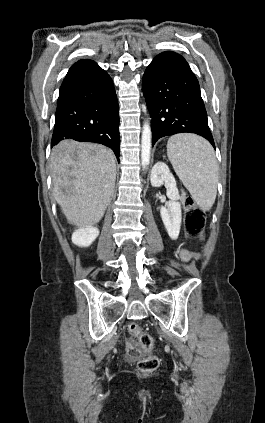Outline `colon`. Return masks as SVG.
<instances>
[{
  "mask_svg": "<svg viewBox=\"0 0 265 423\" xmlns=\"http://www.w3.org/2000/svg\"><path fill=\"white\" fill-rule=\"evenodd\" d=\"M187 210L185 215V230L188 235L199 239L204 238L205 214L196 206L192 198H187L185 201ZM128 331L136 337L139 350L149 351L153 347L152 336L143 331L138 324L130 323ZM137 350L133 351L131 355H136ZM159 366V358L156 356H147L139 360L138 367L142 372H152Z\"/></svg>",
  "mask_w": 265,
  "mask_h": 423,
  "instance_id": "1",
  "label": "colon"
}]
</instances>
